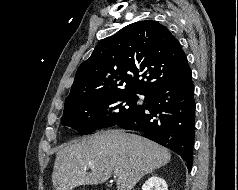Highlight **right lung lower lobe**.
Listing matches in <instances>:
<instances>
[{
	"label": "right lung lower lobe",
	"instance_id": "right-lung-lower-lobe-1",
	"mask_svg": "<svg viewBox=\"0 0 238 190\" xmlns=\"http://www.w3.org/2000/svg\"><path fill=\"white\" fill-rule=\"evenodd\" d=\"M145 101L141 109L116 125L145 133L149 139L175 151L185 160L190 171L196 103L189 65L177 76L154 88L145 96Z\"/></svg>",
	"mask_w": 238,
	"mask_h": 190
}]
</instances>
